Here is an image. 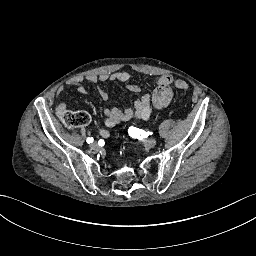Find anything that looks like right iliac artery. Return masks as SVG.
Masks as SVG:
<instances>
[{
	"label": "right iliac artery",
	"mask_w": 256,
	"mask_h": 256,
	"mask_svg": "<svg viewBox=\"0 0 256 256\" xmlns=\"http://www.w3.org/2000/svg\"><path fill=\"white\" fill-rule=\"evenodd\" d=\"M92 142H93V138H92V137H91V138H90V137H88V138H87V143H89V144H90V143H92Z\"/></svg>",
	"instance_id": "82829eb1"
}]
</instances>
